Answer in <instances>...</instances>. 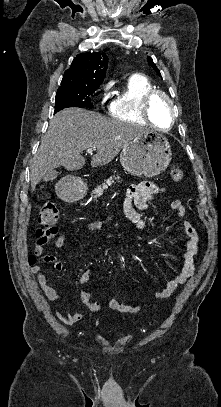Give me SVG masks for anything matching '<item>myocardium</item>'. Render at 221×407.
I'll use <instances>...</instances> for the list:
<instances>
[{
    "label": "myocardium",
    "mask_w": 221,
    "mask_h": 407,
    "mask_svg": "<svg viewBox=\"0 0 221 407\" xmlns=\"http://www.w3.org/2000/svg\"><path fill=\"white\" fill-rule=\"evenodd\" d=\"M157 98H163L169 105V108L171 111V121H170L169 126L165 129H160V128H157V129L162 132L168 131L173 127V125L175 123V115H174V102H173L172 98L166 92H164L162 90H157V89L149 92L143 99L140 111H141L144 119L151 125L155 126L152 115H151V106Z\"/></svg>",
    "instance_id": "obj_1"
}]
</instances>
